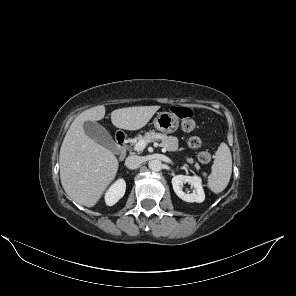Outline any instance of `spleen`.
Segmentation results:
<instances>
[{
  "instance_id": "spleen-1",
  "label": "spleen",
  "mask_w": 296,
  "mask_h": 296,
  "mask_svg": "<svg viewBox=\"0 0 296 296\" xmlns=\"http://www.w3.org/2000/svg\"><path fill=\"white\" fill-rule=\"evenodd\" d=\"M232 174V156L226 143H221L216 151L208 187L214 193L222 192L228 185Z\"/></svg>"
}]
</instances>
